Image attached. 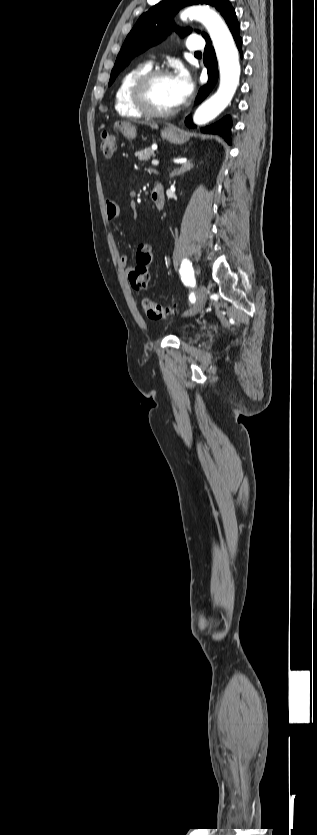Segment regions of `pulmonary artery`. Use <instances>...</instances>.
I'll use <instances>...</instances> for the list:
<instances>
[{
    "label": "pulmonary artery",
    "instance_id": "1",
    "mask_svg": "<svg viewBox=\"0 0 317 835\" xmlns=\"http://www.w3.org/2000/svg\"><path fill=\"white\" fill-rule=\"evenodd\" d=\"M204 48V43L201 37L193 35L188 39L187 49L192 52H200Z\"/></svg>",
    "mask_w": 317,
    "mask_h": 835
}]
</instances>
